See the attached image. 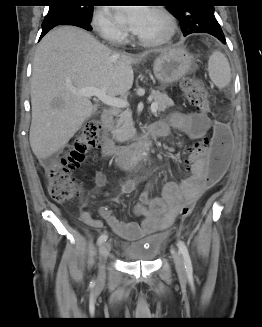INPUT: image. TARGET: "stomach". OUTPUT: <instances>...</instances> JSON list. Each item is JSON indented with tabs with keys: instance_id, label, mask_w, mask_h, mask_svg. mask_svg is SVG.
<instances>
[{
	"instance_id": "1",
	"label": "stomach",
	"mask_w": 262,
	"mask_h": 327,
	"mask_svg": "<svg viewBox=\"0 0 262 327\" xmlns=\"http://www.w3.org/2000/svg\"><path fill=\"white\" fill-rule=\"evenodd\" d=\"M193 64V57L185 48L174 47L163 51L155 59L153 71L156 79L165 88L189 73Z\"/></svg>"
}]
</instances>
